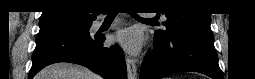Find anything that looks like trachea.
Masks as SVG:
<instances>
[{
  "instance_id": "3493384b",
  "label": "trachea",
  "mask_w": 255,
  "mask_h": 79,
  "mask_svg": "<svg viewBox=\"0 0 255 79\" xmlns=\"http://www.w3.org/2000/svg\"><path fill=\"white\" fill-rule=\"evenodd\" d=\"M115 13H108V16H107V18H114L115 17ZM144 20H153V19H144Z\"/></svg>"
}]
</instances>
